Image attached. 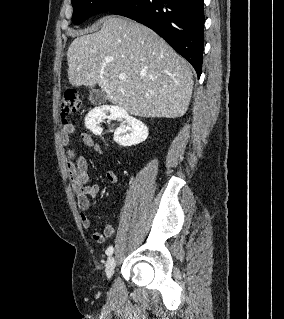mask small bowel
<instances>
[{
	"mask_svg": "<svg viewBox=\"0 0 284 319\" xmlns=\"http://www.w3.org/2000/svg\"><path fill=\"white\" fill-rule=\"evenodd\" d=\"M76 132V127L72 124H65L61 131V141L64 145H68L70 136ZM82 142L92 148L98 154L102 153L101 147L95 141L94 137L89 133H82ZM66 169L70 179L72 190L76 194L77 206L80 210V221L84 228L91 227V219L88 210L91 206V198L97 197L100 188L93 179L88 170V163L83 156L78 155L74 150L70 149L66 156ZM106 178L110 183L117 182V174L108 171ZM115 232V228L111 224H107L103 231H94L92 238L97 243H103L107 238L111 237Z\"/></svg>",
	"mask_w": 284,
	"mask_h": 319,
	"instance_id": "small-bowel-1",
	"label": "small bowel"
}]
</instances>
